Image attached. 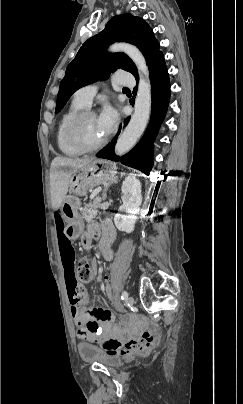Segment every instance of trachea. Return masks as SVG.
Here are the masks:
<instances>
[{"label":"trachea","mask_w":243,"mask_h":404,"mask_svg":"<svg viewBox=\"0 0 243 404\" xmlns=\"http://www.w3.org/2000/svg\"><path fill=\"white\" fill-rule=\"evenodd\" d=\"M124 89H127V87H124ZM127 90H129V89H127Z\"/></svg>","instance_id":"1"}]
</instances>
